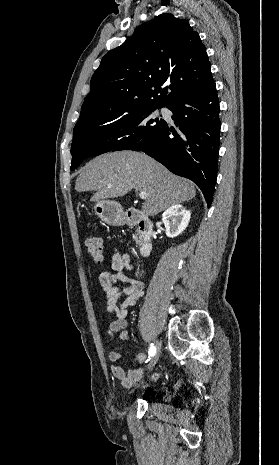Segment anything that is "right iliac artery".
<instances>
[{"label":"right iliac artery","instance_id":"82829eb1","mask_svg":"<svg viewBox=\"0 0 279 465\" xmlns=\"http://www.w3.org/2000/svg\"><path fill=\"white\" fill-rule=\"evenodd\" d=\"M156 353V347L154 346V344H151L150 345V349H149V357H152L154 356ZM148 361V360H147Z\"/></svg>","mask_w":279,"mask_h":465}]
</instances>
